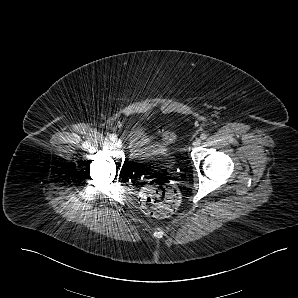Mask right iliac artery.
<instances>
[{"label": "right iliac artery", "mask_w": 298, "mask_h": 298, "mask_svg": "<svg viewBox=\"0 0 298 298\" xmlns=\"http://www.w3.org/2000/svg\"><path fill=\"white\" fill-rule=\"evenodd\" d=\"M109 139L110 140H115V136L114 135H109Z\"/></svg>", "instance_id": "82829eb1"}]
</instances>
